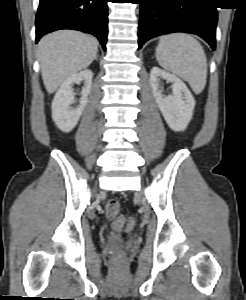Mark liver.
Masks as SVG:
<instances>
[{
	"instance_id": "6515ba94",
	"label": "liver",
	"mask_w": 246,
	"mask_h": 300,
	"mask_svg": "<svg viewBox=\"0 0 246 300\" xmlns=\"http://www.w3.org/2000/svg\"><path fill=\"white\" fill-rule=\"evenodd\" d=\"M97 52L96 40L78 31L60 30L44 36L37 56L47 92H55L68 77L87 68Z\"/></svg>"
}]
</instances>
